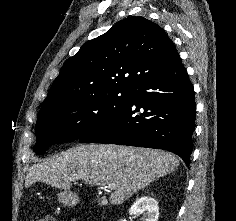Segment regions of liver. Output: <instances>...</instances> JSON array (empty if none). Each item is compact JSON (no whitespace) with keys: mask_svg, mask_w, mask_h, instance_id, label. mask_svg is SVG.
I'll use <instances>...</instances> for the list:
<instances>
[{"mask_svg":"<svg viewBox=\"0 0 236 221\" xmlns=\"http://www.w3.org/2000/svg\"><path fill=\"white\" fill-rule=\"evenodd\" d=\"M178 166V158L163 150L87 144L34 164L28 171L25 185L43 182L67 191L71 188V178L91 185L113 184L115 188L109 201L119 205Z\"/></svg>","mask_w":236,"mask_h":221,"instance_id":"obj_1","label":"liver"}]
</instances>
